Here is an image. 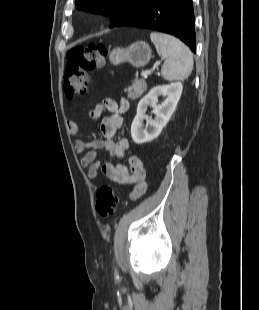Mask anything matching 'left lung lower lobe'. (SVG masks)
Returning a JSON list of instances; mask_svg holds the SVG:
<instances>
[{
  "label": "left lung lower lobe",
  "instance_id": "obj_1",
  "mask_svg": "<svg viewBox=\"0 0 259 310\" xmlns=\"http://www.w3.org/2000/svg\"><path fill=\"white\" fill-rule=\"evenodd\" d=\"M194 25L192 0H151L113 27L133 26L165 32L182 40L195 53Z\"/></svg>",
  "mask_w": 259,
  "mask_h": 310
}]
</instances>
